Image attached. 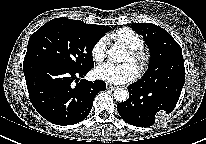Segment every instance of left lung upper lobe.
<instances>
[{
	"mask_svg": "<svg viewBox=\"0 0 206 144\" xmlns=\"http://www.w3.org/2000/svg\"><path fill=\"white\" fill-rule=\"evenodd\" d=\"M131 28L143 36L151 53L148 71L138 83L151 86L185 74L181 47L165 29L151 23H132Z\"/></svg>",
	"mask_w": 206,
	"mask_h": 144,
	"instance_id": "1",
	"label": "left lung upper lobe"
}]
</instances>
